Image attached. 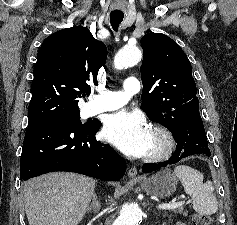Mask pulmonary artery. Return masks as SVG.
Wrapping results in <instances>:
<instances>
[{"mask_svg":"<svg viewBox=\"0 0 237 225\" xmlns=\"http://www.w3.org/2000/svg\"><path fill=\"white\" fill-rule=\"evenodd\" d=\"M140 83L135 77H128L123 86L122 91L102 90L87 103L88 115H96L106 111H113L123 107L131 96L138 93Z\"/></svg>","mask_w":237,"mask_h":225,"instance_id":"obj_1","label":"pulmonary artery"}]
</instances>
